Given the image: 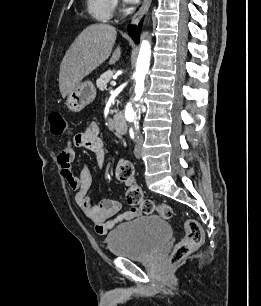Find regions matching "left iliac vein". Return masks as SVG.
Returning a JSON list of instances; mask_svg holds the SVG:
<instances>
[{"label":"left iliac vein","mask_w":261,"mask_h":306,"mask_svg":"<svg viewBox=\"0 0 261 306\" xmlns=\"http://www.w3.org/2000/svg\"><path fill=\"white\" fill-rule=\"evenodd\" d=\"M142 153V139L140 137H137L136 139V145L134 149V155L136 158H140Z\"/></svg>","instance_id":"1"}]
</instances>
